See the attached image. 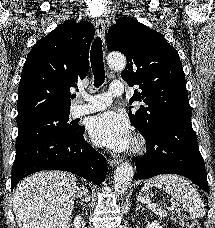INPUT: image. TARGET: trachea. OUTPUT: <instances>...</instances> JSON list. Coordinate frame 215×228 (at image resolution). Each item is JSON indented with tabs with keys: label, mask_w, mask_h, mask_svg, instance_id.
Segmentation results:
<instances>
[{
	"label": "trachea",
	"mask_w": 215,
	"mask_h": 228,
	"mask_svg": "<svg viewBox=\"0 0 215 228\" xmlns=\"http://www.w3.org/2000/svg\"><path fill=\"white\" fill-rule=\"evenodd\" d=\"M91 67L94 75V86L96 88L100 87L105 80V70L103 61V51H102V40L96 37L90 53ZM75 97V95L73 96Z\"/></svg>",
	"instance_id": "3493384b"
}]
</instances>
